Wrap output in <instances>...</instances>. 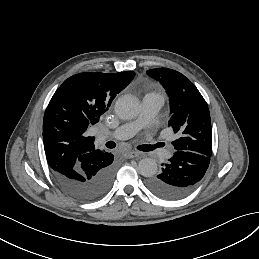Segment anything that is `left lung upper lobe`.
<instances>
[{
    "instance_id": "1",
    "label": "left lung upper lobe",
    "mask_w": 259,
    "mask_h": 259,
    "mask_svg": "<svg viewBox=\"0 0 259 259\" xmlns=\"http://www.w3.org/2000/svg\"><path fill=\"white\" fill-rule=\"evenodd\" d=\"M147 74L159 81L169 95L171 116L168 125L180 135L172 142L174 149L211 157L210 113L195 85L183 74L168 68L151 69Z\"/></svg>"
}]
</instances>
